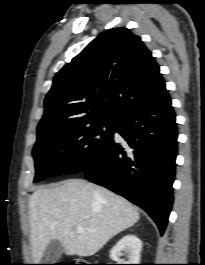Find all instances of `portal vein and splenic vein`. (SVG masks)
<instances>
[{
  "instance_id": "obj_1",
  "label": "portal vein and splenic vein",
  "mask_w": 205,
  "mask_h": 265,
  "mask_svg": "<svg viewBox=\"0 0 205 265\" xmlns=\"http://www.w3.org/2000/svg\"><path fill=\"white\" fill-rule=\"evenodd\" d=\"M83 230H84V229H83L82 226H78V227H77V231H78V232H83Z\"/></svg>"
}]
</instances>
